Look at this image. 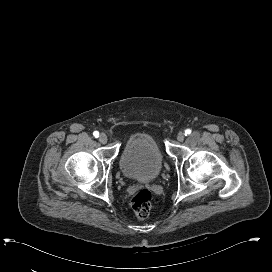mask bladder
<instances>
[{"label": "bladder", "instance_id": "bladder-1", "mask_svg": "<svg viewBox=\"0 0 272 272\" xmlns=\"http://www.w3.org/2000/svg\"><path fill=\"white\" fill-rule=\"evenodd\" d=\"M119 161L126 176L137 180L151 181L159 175L164 158L154 138L139 133L126 141Z\"/></svg>", "mask_w": 272, "mask_h": 272}]
</instances>
